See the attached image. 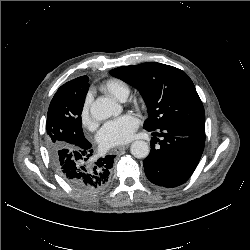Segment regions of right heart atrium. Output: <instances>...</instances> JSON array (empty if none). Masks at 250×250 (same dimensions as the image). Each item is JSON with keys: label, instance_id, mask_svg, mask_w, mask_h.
Returning <instances> with one entry per match:
<instances>
[{"label": "right heart atrium", "instance_id": "obj_1", "mask_svg": "<svg viewBox=\"0 0 250 250\" xmlns=\"http://www.w3.org/2000/svg\"><path fill=\"white\" fill-rule=\"evenodd\" d=\"M90 103L91 99L87 97L81 110V122L86 128L93 129L95 127V122L90 113Z\"/></svg>", "mask_w": 250, "mask_h": 250}]
</instances>
